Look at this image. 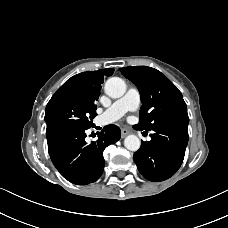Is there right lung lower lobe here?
I'll list each match as a JSON object with an SVG mask.
<instances>
[{"instance_id": "1", "label": "right lung lower lobe", "mask_w": 228, "mask_h": 228, "mask_svg": "<svg viewBox=\"0 0 228 228\" xmlns=\"http://www.w3.org/2000/svg\"><path fill=\"white\" fill-rule=\"evenodd\" d=\"M88 128H71L47 137L51 160L68 181L86 185L95 182L104 170L103 150L121 137L119 127L107 125L96 142L85 141Z\"/></svg>"}]
</instances>
